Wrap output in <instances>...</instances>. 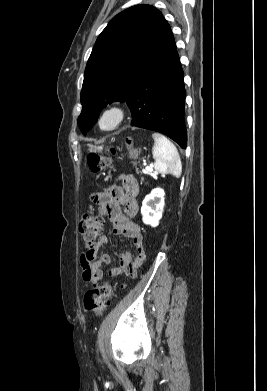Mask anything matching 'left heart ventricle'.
Listing matches in <instances>:
<instances>
[{"mask_svg":"<svg viewBox=\"0 0 267 391\" xmlns=\"http://www.w3.org/2000/svg\"><path fill=\"white\" fill-rule=\"evenodd\" d=\"M115 116L113 114H108L103 118L102 126L104 128H110L115 123Z\"/></svg>","mask_w":267,"mask_h":391,"instance_id":"obj_1","label":"left heart ventricle"}]
</instances>
